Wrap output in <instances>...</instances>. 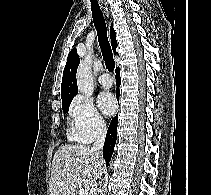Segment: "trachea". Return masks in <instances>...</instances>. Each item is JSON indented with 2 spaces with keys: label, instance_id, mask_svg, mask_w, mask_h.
Listing matches in <instances>:
<instances>
[{
  "label": "trachea",
  "instance_id": "3493384b",
  "mask_svg": "<svg viewBox=\"0 0 211 195\" xmlns=\"http://www.w3.org/2000/svg\"><path fill=\"white\" fill-rule=\"evenodd\" d=\"M91 8H92L93 22L97 30L98 42H99V46L102 52V56H103L106 68L109 71H113L115 68V61L113 58L111 46L108 41L107 29H106L103 13L99 7L98 2L92 1Z\"/></svg>",
  "mask_w": 211,
  "mask_h": 195
}]
</instances>
